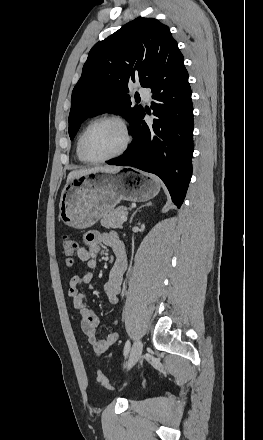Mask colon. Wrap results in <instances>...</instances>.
Here are the masks:
<instances>
[{"label": "colon", "mask_w": 263, "mask_h": 440, "mask_svg": "<svg viewBox=\"0 0 263 440\" xmlns=\"http://www.w3.org/2000/svg\"><path fill=\"white\" fill-rule=\"evenodd\" d=\"M77 247L78 244L75 238H73L70 235L62 236L61 249L69 265H72L74 262V256L77 251ZM97 382L101 387L105 389H114L115 387V385L112 382H110L101 371L97 373Z\"/></svg>", "instance_id": "1"}]
</instances>
